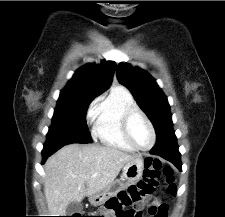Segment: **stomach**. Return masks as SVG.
Here are the masks:
<instances>
[{"label": "stomach", "mask_w": 225, "mask_h": 217, "mask_svg": "<svg viewBox=\"0 0 225 217\" xmlns=\"http://www.w3.org/2000/svg\"><path fill=\"white\" fill-rule=\"evenodd\" d=\"M144 167V160L141 157H137L127 162L123 166L121 178L114 181L100 192L90 196L89 201L95 206L105 204L110 198L116 196L123 188L139 181L143 176Z\"/></svg>", "instance_id": "obj_1"}]
</instances>
